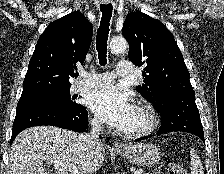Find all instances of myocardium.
I'll list each match as a JSON object with an SVG mask.
<instances>
[{
	"label": "myocardium",
	"mask_w": 224,
	"mask_h": 174,
	"mask_svg": "<svg viewBox=\"0 0 224 174\" xmlns=\"http://www.w3.org/2000/svg\"><path fill=\"white\" fill-rule=\"evenodd\" d=\"M136 107L143 113L145 118V123L142 127L138 129L123 131V134L125 136L131 137V138L148 135L156 128V125H157L156 112L149 103L145 101H139Z\"/></svg>",
	"instance_id": "myocardium-1"
}]
</instances>
